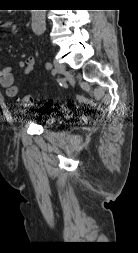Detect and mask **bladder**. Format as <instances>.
<instances>
[{
  "label": "bladder",
  "mask_w": 138,
  "mask_h": 253,
  "mask_svg": "<svg viewBox=\"0 0 138 253\" xmlns=\"http://www.w3.org/2000/svg\"><path fill=\"white\" fill-rule=\"evenodd\" d=\"M54 123H55V119L50 118V119H48V120L45 122V126H46V127H49V126H52Z\"/></svg>",
  "instance_id": "obj_1"
}]
</instances>
